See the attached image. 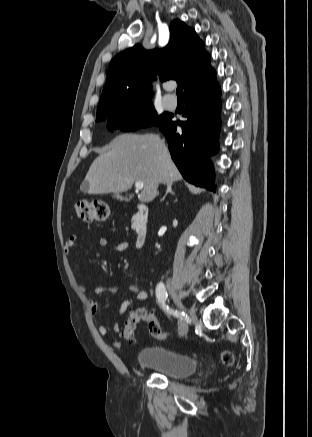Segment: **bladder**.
<instances>
[{
    "label": "bladder",
    "instance_id": "1",
    "mask_svg": "<svg viewBox=\"0 0 312 437\" xmlns=\"http://www.w3.org/2000/svg\"><path fill=\"white\" fill-rule=\"evenodd\" d=\"M138 363L142 368L171 379L185 378L197 369V362L191 355L161 346L142 349L138 355Z\"/></svg>",
    "mask_w": 312,
    "mask_h": 437
}]
</instances>
